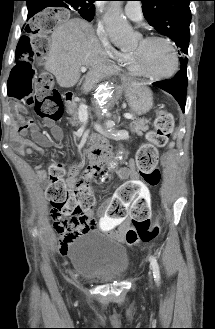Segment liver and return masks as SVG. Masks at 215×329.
<instances>
[{"instance_id": "liver-1", "label": "liver", "mask_w": 215, "mask_h": 329, "mask_svg": "<svg viewBox=\"0 0 215 329\" xmlns=\"http://www.w3.org/2000/svg\"><path fill=\"white\" fill-rule=\"evenodd\" d=\"M82 66L90 69L82 85L84 92L93 89L100 79L118 72L104 57L90 23L80 18L63 21L51 34L45 69L61 87L70 88L78 82Z\"/></svg>"}]
</instances>
